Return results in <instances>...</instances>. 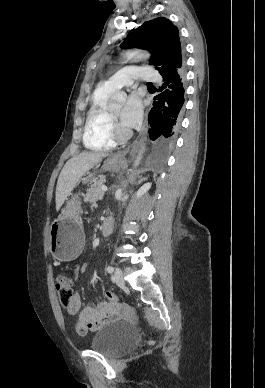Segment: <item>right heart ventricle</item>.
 Returning a JSON list of instances; mask_svg holds the SVG:
<instances>
[{
    "mask_svg": "<svg viewBox=\"0 0 265 388\" xmlns=\"http://www.w3.org/2000/svg\"><path fill=\"white\" fill-rule=\"evenodd\" d=\"M108 99L109 91H94V98L87 114L84 129V142L93 150H109L115 145V140L108 127L109 111L105 108Z\"/></svg>",
    "mask_w": 265,
    "mask_h": 388,
    "instance_id": "1",
    "label": "right heart ventricle"
}]
</instances>
